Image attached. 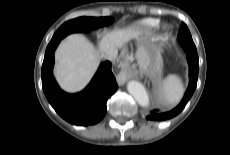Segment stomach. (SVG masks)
Returning a JSON list of instances; mask_svg holds the SVG:
<instances>
[{"mask_svg":"<svg viewBox=\"0 0 230 155\" xmlns=\"http://www.w3.org/2000/svg\"><path fill=\"white\" fill-rule=\"evenodd\" d=\"M160 52V47L154 42L152 38H144L138 45V56L151 57Z\"/></svg>","mask_w":230,"mask_h":155,"instance_id":"0dacf381","label":"stomach"}]
</instances>
